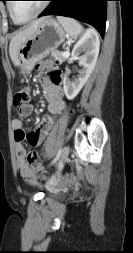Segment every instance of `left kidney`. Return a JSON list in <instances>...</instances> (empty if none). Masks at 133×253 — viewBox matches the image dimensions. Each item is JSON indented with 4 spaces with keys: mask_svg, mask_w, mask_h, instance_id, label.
Masks as SVG:
<instances>
[{
    "mask_svg": "<svg viewBox=\"0 0 133 253\" xmlns=\"http://www.w3.org/2000/svg\"><path fill=\"white\" fill-rule=\"evenodd\" d=\"M99 47V37L92 29L87 30L74 45L71 56L72 59H80L82 69L79 70V76L74 81H71L68 78L70 71L68 68L66 69V75L63 79V88L65 95L69 100H72L77 96L90 77L98 58ZM81 52H84V55L79 57Z\"/></svg>",
    "mask_w": 133,
    "mask_h": 253,
    "instance_id": "left-kidney-1",
    "label": "left kidney"
}]
</instances>
